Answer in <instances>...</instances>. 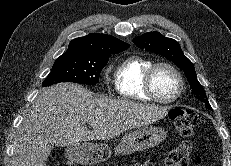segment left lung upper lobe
I'll return each mask as SVG.
<instances>
[{
  "label": "left lung upper lobe",
  "mask_w": 231,
  "mask_h": 166,
  "mask_svg": "<svg viewBox=\"0 0 231 166\" xmlns=\"http://www.w3.org/2000/svg\"><path fill=\"white\" fill-rule=\"evenodd\" d=\"M133 42L140 49L151 51L164 56L173 61L180 69H182L187 77L193 93L197 99L203 101L208 110H212L202 85L196 77L193 63L183 54L179 43L171 38H166L159 32H148L141 36L135 37Z\"/></svg>",
  "instance_id": "1"
}]
</instances>
